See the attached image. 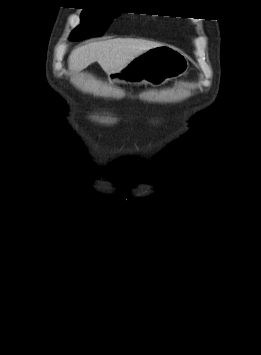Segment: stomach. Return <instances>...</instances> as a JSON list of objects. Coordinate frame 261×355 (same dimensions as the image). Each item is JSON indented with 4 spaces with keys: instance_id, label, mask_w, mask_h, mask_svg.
I'll return each instance as SVG.
<instances>
[{
    "instance_id": "1",
    "label": "stomach",
    "mask_w": 261,
    "mask_h": 355,
    "mask_svg": "<svg viewBox=\"0 0 261 355\" xmlns=\"http://www.w3.org/2000/svg\"><path fill=\"white\" fill-rule=\"evenodd\" d=\"M187 57L178 49L161 45L149 49L119 71L107 73L111 82L160 85L186 74Z\"/></svg>"
}]
</instances>
